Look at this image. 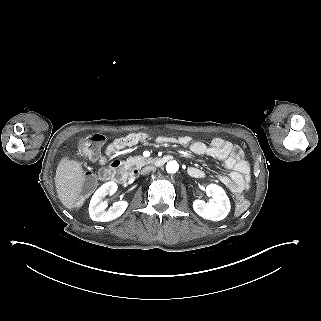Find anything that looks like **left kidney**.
Wrapping results in <instances>:
<instances>
[{
	"mask_svg": "<svg viewBox=\"0 0 321 321\" xmlns=\"http://www.w3.org/2000/svg\"><path fill=\"white\" fill-rule=\"evenodd\" d=\"M206 195L211 197L209 202L202 200L193 203L194 211L205 220L221 221L230 212L231 204L225 190L215 183H210L206 187Z\"/></svg>",
	"mask_w": 321,
	"mask_h": 321,
	"instance_id": "obj_1",
	"label": "left kidney"
}]
</instances>
